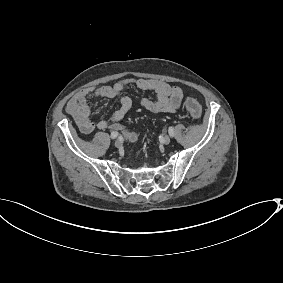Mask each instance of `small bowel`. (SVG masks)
Wrapping results in <instances>:
<instances>
[{"label":"small bowel","instance_id":"c3829d8e","mask_svg":"<svg viewBox=\"0 0 283 283\" xmlns=\"http://www.w3.org/2000/svg\"><path fill=\"white\" fill-rule=\"evenodd\" d=\"M129 86H136L141 90L153 91L156 99L141 98L140 104L153 113H174L178 110L183 100V91L177 86L167 82L145 78H130L115 82L113 85L99 88L88 87L77 92L67 103L66 111L73 117L75 123L83 134H90L95 129L124 131L130 140H135V135L126 131L121 123L122 119L131 109L132 98L125 95L124 91ZM93 97L119 98V107L109 119L93 122L90 119L91 107L89 99Z\"/></svg>","mask_w":283,"mask_h":283}]
</instances>
